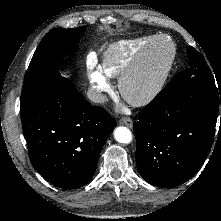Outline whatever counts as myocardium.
<instances>
[{"instance_id":"obj_1","label":"myocardium","mask_w":221,"mask_h":221,"mask_svg":"<svg viewBox=\"0 0 221 221\" xmlns=\"http://www.w3.org/2000/svg\"><path fill=\"white\" fill-rule=\"evenodd\" d=\"M160 43L168 45L167 58L153 82L142 92L134 93L133 87L144 75L154 50ZM176 57V46L167 35L156 36L144 50L140 60L119 81V90L124 99L134 106H145L153 101L162 91L173 67Z\"/></svg>"}]
</instances>
